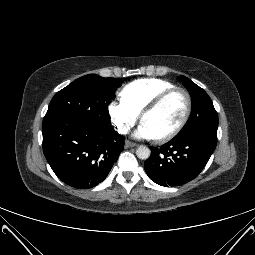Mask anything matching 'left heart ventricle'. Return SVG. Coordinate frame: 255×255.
Returning a JSON list of instances; mask_svg holds the SVG:
<instances>
[{"instance_id": "1", "label": "left heart ventricle", "mask_w": 255, "mask_h": 255, "mask_svg": "<svg viewBox=\"0 0 255 255\" xmlns=\"http://www.w3.org/2000/svg\"><path fill=\"white\" fill-rule=\"evenodd\" d=\"M186 109V99L181 92L169 96L156 110L148 114L145 123L155 137H160L173 130L182 119Z\"/></svg>"}]
</instances>
